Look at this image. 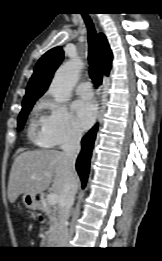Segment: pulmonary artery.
I'll return each instance as SVG.
<instances>
[{
    "label": "pulmonary artery",
    "instance_id": "obj_1",
    "mask_svg": "<svg viewBox=\"0 0 162 261\" xmlns=\"http://www.w3.org/2000/svg\"><path fill=\"white\" fill-rule=\"evenodd\" d=\"M77 94L82 98H91L93 96V89L90 82L85 81L78 85Z\"/></svg>",
    "mask_w": 162,
    "mask_h": 261
}]
</instances>
